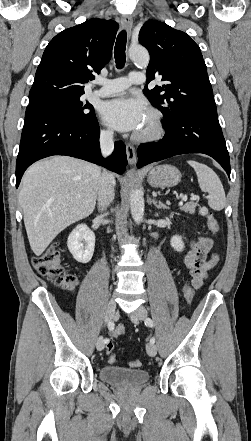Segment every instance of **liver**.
<instances>
[{
  "label": "liver",
  "instance_id": "1",
  "mask_svg": "<svg viewBox=\"0 0 251 441\" xmlns=\"http://www.w3.org/2000/svg\"><path fill=\"white\" fill-rule=\"evenodd\" d=\"M100 175L97 165L68 156L41 160L27 169L19 203L35 255L40 256L62 230L93 212Z\"/></svg>",
  "mask_w": 251,
  "mask_h": 441
}]
</instances>
